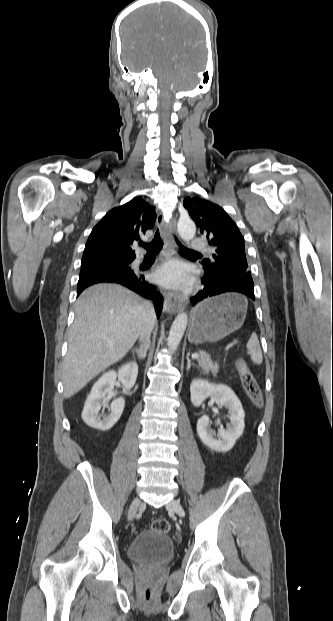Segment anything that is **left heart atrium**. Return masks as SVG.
Segmentation results:
<instances>
[{
  "instance_id": "39dd6f15",
  "label": "left heart atrium",
  "mask_w": 333,
  "mask_h": 621,
  "mask_svg": "<svg viewBox=\"0 0 333 621\" xmlns=\"http://www.w3.org/2000/svg\"><path fill=\"white\" fill-rule=\"evenodd\" d=\"M156 282L169 288H182L190 283L183 266L175 261H168L154 273Z\"/></svg>"
}]
</instances>
